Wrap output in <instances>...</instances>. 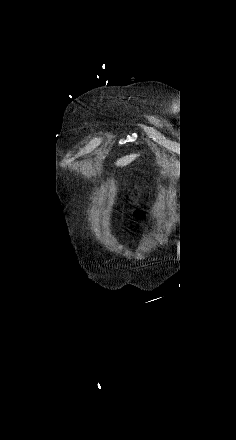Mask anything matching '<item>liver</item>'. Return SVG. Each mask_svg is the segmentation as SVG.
Listing matches in <instances>:
<instances>
[{"mask_svg":"<svg viewBox=\"0 0 236 440\" xmlns=\"http://www.w3.org/2000/svg\"><path fill=\"white\" fill-rule=\"evenodd\" d=\"M137 156H138L137 154H131V155L122 157L117 160L116 165L121 166V167L126 166V165L130 164L132 161H134Z\"/></svg>","mask_w":236,"mask_h":440,"instance_id":"liver-1","label":"liver"}]
</instances>
